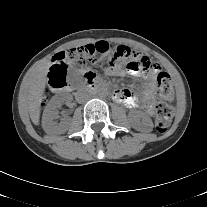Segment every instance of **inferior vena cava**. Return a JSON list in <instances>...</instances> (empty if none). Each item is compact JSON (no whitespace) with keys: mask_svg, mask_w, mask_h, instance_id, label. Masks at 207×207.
Instances as JSON below:
<instances>
[{"mask_svg":"<svg viewBox=\"0 0 207 207\" xmlns=\"http://www.w3.org/2000/svg\"><path fill=\"white\" fill-rule=\"evenodd\" d=\"M87 98L80 100V102H85Z\"/></svg>","mask_w":207,"mask_h":207,"instance_id":"602c4592","label":"inferior vena cava"}]
</instances>
